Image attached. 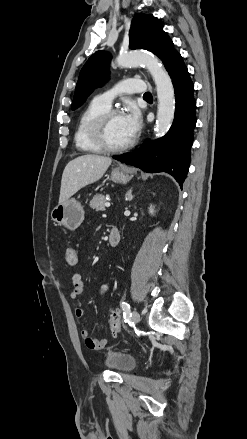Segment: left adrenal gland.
<instances>
[{
  "label": "left adrenal gland",
  "instance_id": "a2214340",
  "mask_svg": "<svg viewBox=\"0 0 247 439\" xmlns=\"http://www.w3.org/2000/svg\"><path fill=\"white\" fill-rule=\"evenodd\" d=\"M133 198H134V195H132V188H130V189L127 191L126 199H127L128 201H131Z\"/></svg>",
  "mask_w": 247,
  "mask_h": 439
}]
</instances>
